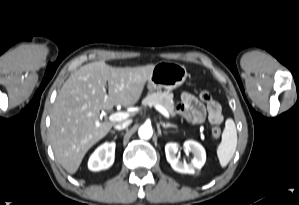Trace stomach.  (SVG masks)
<instances>
[{
    "instance_id": "obj_1",
    "label": "stomach",
    "mask_w": 299,
    "mask_h": 205,
    "mask_svg": "<svg viewBox=\"0 0 299 205\" xmlns=\"http://www.w3.org/2000/svg\"><path fill=\"white\" fill-rule=\"evenodd\" d=\"M186 77L185 66L172 62H159L155 64L148 79V88L174 90L185 82Z\"/></svg>"
}]
</instances>
